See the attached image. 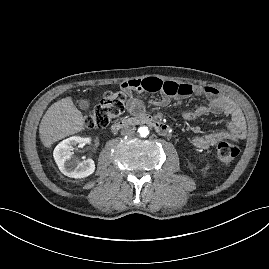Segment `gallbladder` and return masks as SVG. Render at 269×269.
Returning a JSON list of instances; mask_svg holds the SVG:
<instances>
[{
  "mask_svg": "<svg viewBox=\"0 0 269 269\" xmlns=\"http://www.w3.org/2000/svg\"><path fill=\"white\" fill-rule=\"evenodd\" d=\"M78 106L80 107V109L86 110L90 106V101L88 99H80L78 101Z\"/></svg>",
  "mask_w": 269,
  "mask_h": 269,
  "instance_id": "gallbladder-1",
  "label": "gallbladder"
}]
</instances>
